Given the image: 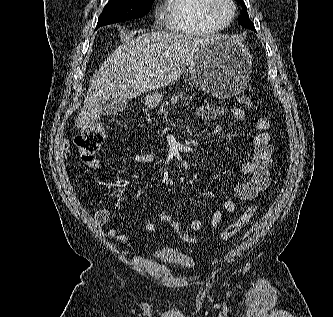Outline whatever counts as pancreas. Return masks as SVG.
<instances>
[{
	"label": "pancreas",
	"mask_w": 333,
	"mask_h": 317,
	"mask_svg": "<svg viewBox=\"0 0 333 317\" xmlns=\"http://www.w3.org/2000/svg\"><path fill=\"white\" fill-rule=\"evenodd\" d=\"M182 99H186V100H187L188 97H184V95H183L182 93L177 94V95H173V96L171 97V103H177V102H179V101L182 100ZM166 105H167V102H164L163 105L160 107L158 113H163V112H164L163 107L166 106Z\"/></svg>",
	"instance_id": "pancreas-1"
}]
</instances>
